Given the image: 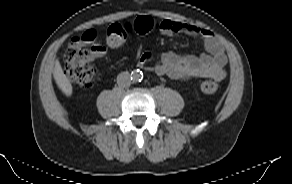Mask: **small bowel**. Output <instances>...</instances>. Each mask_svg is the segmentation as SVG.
<instances>
[{"mask_svg": "<svg viewBox=\"0 0 292 184\" xmlns=\"http://www.w3.org/2000/svg\"><path fill=\"white\" fill-rule=\"evenodd\" d=\"M141 17L151 18L149 16ZM141 17H138L130 24L133 25ZM154 23L155 30L166 36L185 33L201 38L206 50L203 54L188 56H179L171 51L165 52L153 67V70L157 74L167 76L174 80L209 77L219 81L225 77L227 56L224 47L211 30L174 20L154 21ZM150 59L151 55L148 53L141 55L139 58L140 67H146Z\"/></svg>", "mask_w": 292, "mask_h": 184, "instance_id": "1", "label": "small bowel"}]
</instances>
